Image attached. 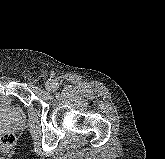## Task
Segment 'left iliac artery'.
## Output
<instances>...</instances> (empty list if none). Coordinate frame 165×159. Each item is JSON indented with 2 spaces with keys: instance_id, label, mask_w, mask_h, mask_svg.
I'll list each match as a JSON object with an SVG mask.
<instances>
[{
  "instance_id": "left-iliac-artery-1",
  "label": "left iliac artery",
  "mask_w": 165,
  "mask_h": 159,
  "mask_svg": "<svg viewBox=\"0 0 165 159\" xmlns=\"http://www.w3.org/2000/svg\"><path fill=\"white\" fill-rule=\"evenodd\" d=\"M58 87H59L58 84L57 83H54V88L55 89H58Z\"/></svg>"
}]
</instances>
